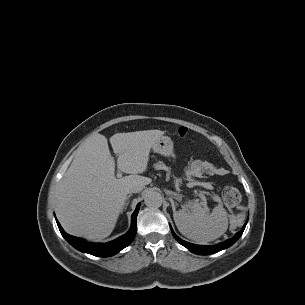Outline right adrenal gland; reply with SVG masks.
<instances>
[{
    "label": "right adrenal gland",
    "mask_w": 305,
    "mask_h": 305,
    "mask_svg": "<svg viewBox=\"0 0 305 305\" xmlns=\"http://www.w3.org/2000/svg\"><path fill=\"white\" fill-rule=\"evenodd\" d=\"M131 196H132V195H128V196H127L126 201H125V203H124V205H123V208H122V210H121V213H123V211L126 210L128 204H129V198H130Z\"/></svg>",
    "instance_id": "obj_1"
}]
</instances>
